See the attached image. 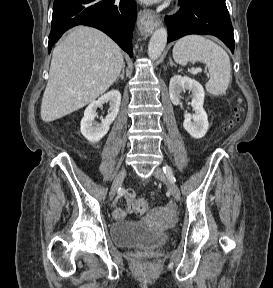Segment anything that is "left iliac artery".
<instances>
[{
    "instance_id": "1",
    "label": "left iliac artery",
    "mask_w": 273,
    "mask_h": 288,
    "mask_svg": "<svg viewBox=\"0 0 273 288\" xmlns=\"http://www.w3.org/2000/svg\"><path fill=\"white\" fill-rule=\"evenodd\" d=\"M163 171L165 172V174L167 175V177L171 180V181H175V177L173 176L172 173V169L169 166H164L163 167Z\"/></svg>"
}]
</instances>
